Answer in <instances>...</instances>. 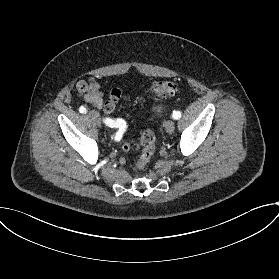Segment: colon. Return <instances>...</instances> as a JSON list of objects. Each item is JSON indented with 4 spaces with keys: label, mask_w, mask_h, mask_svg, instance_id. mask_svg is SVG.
Listing matches in <instances>:
<instances>
[{
    "label": "colon",
    "mask_w": 279,
    "mask_h": 279,
    "mask_svg": "<svg viewBox=\"0 0 279 279\" xmlns=\"http://www.w3.org/2000/svg\"><path fill=\"white\" fill-rule=\"evenodd\" d=\"M152 91L155 96L166 98L181 92V87L176 81H161L153 85ZM122 99V92L118 88L109 91L107 100L103 105L105 113H111L115 109L117 103ZM155 135L152 131H144L137 143L136 148L140 152L139 157L134 161L133 167L136 171L142 172L146 169L148 163L154 156ZM122 150L125 152L131 149L129 141L122 142Z\"/></svg>",
    "instance_id": "5ec220e1"
}]
</instances>
